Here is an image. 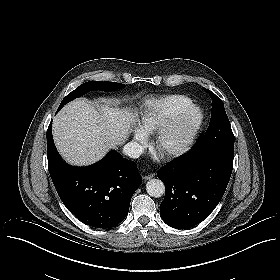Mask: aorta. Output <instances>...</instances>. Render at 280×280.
Instances as JSON below:
<instances>
[{
    "mask_svg": "<svg viewBox=\"0 0 280 280\" xmlns=\"http://www.w3.org/2000/svg\"><path fill=\"white\" fill-rule=\"evenodd\" d=\"M146 191L151 197L159 198L165 193V185L160 179H151L146 183Z\"/></svg>",
    "mask_w": 280,
    "mask_h": 280,
    "instance_id": "aorta-1",
    "label": "aorta"
}]
</instances>
